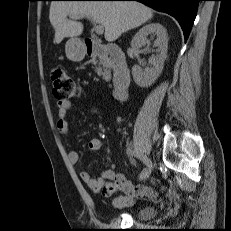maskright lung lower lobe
<instances>
[{"mask_svg": "<svg viewBox=\"0 0 231 231\" xmlns=\"http://www.w3.org/2000/svg\"><path fill=\"white\" fill-rule=\"evenodd\" d=\"M94 1H105V0H94ZM116 1H139L155 10L165 12L173 16L179 22L183 30L185 40H187L197 14L198 3L201 0H116Z\"/></svg>", "mask_w": 231, "mask_h": 231, "instance_id": "obj_1", "label": "right lung lower lobe"}]
</instances>
